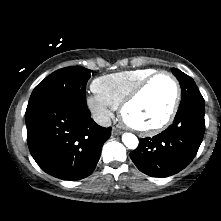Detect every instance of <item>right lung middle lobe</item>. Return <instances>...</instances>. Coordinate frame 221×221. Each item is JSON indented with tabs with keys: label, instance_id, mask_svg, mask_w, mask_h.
I'll list each match as a JSON object with an SVG mask.
<instances>
[{
	"label": "right lung middle lobe",
	"instance_id": "obj_1",
	"mask_svg": "<svg viewBox=\"0 0 221 221\" xmlns=\"http://www.w3.org/2000/svg\"><path fill=\"white\" fill-rule=\"evenodd\" d=\"M91 70L81 66L59 69L42 80L33 90L27 109L55 101L86 102L85 87Z\"/></svg>",
	"mask_w": 221,
	"mask_h": 221
}]
</instances>
